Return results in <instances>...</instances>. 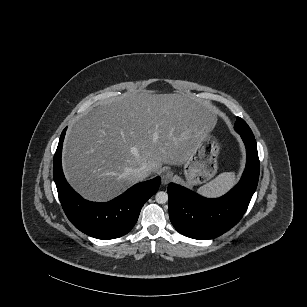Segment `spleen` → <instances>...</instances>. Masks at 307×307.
Returning a JSON list of instances; mask_svg holds the SVG:
<instances>
[{
  "instance_id": "spleen-1",
  "label": "spleen",
  "mask_w": 307,
  "mask_h": 307,
  "mask_svg": "<svg viewBox=\"0 0 307 307\" xmlns=\"http://www.w3.org/2000/svg\"><path fill=\"white\" fill-rule=\"evenodd\" d=\"M236 182L234 172H224L209 183L201 186L198 192L206 197H218L226 193Z\"/></svg>"
}]
</instances>
